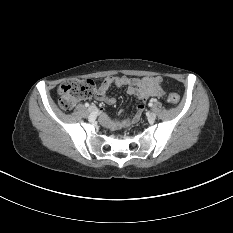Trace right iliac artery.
I'll return each instance as SVG.
<instances>
[{
  "label": "right iliac artery",
  "mask_w": 233,
  "mask_h": 233,
  "mask_svg": "<svg viewBox=\"0 0 233 233\" xmlns=\"http://www.w3.org/2000/svg\"><path fill=\"white\" fill-rule=\"evenodd\" d=\"M85 107H89V103H85Z\"/></svg>",
  "instance_id": "82829eb1"
}]
</instances>
